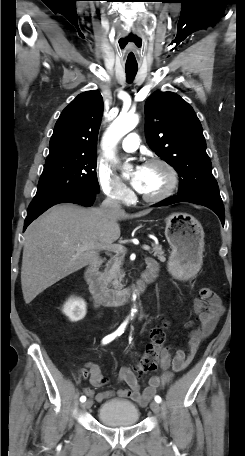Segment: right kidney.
Wrapping results in <instances>:
<instances>
[{
    "label": "right kidney",
    "mask_w": 245,
    "mask_h": 456,
    "mask_svg": "<svg viewBox=\"0 0 245 456\" xmlns=\"http://www.w3.org/2000/svg\"><path fill=\"white\" fill-rule=\"evenodd\" d=\"M63 313L72 322H77L86 315V303L82 298H70L63 306Z\"/></svg>",
    "instance_id": "right-kidney-1"
}]
</instances>
